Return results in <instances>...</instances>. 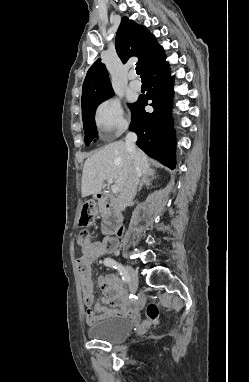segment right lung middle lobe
<instances>
[{
    "mask_svg": "<svg viewBox=\"0 0 249 382\" xmlns=\"http://www.w3.org/2000/svg\"><path fill=\"white\" fill-rule=\"evenodd\" d=\"M108 98H110V97L94 100L84 110H82V118H83V124H84L86 145H89L91 143L92 137L95 136V133H97L96 125H95V121H94L96 107L101 102H103L104 100H106ZM128 106L130 109H132L134 104H128Z\"/></svg>",
    "mask_w": 249,
    "mask_h": 382,
    "instance_id": "obj_1",
    "label": "right lung middle lobe"
}]
</instances>
